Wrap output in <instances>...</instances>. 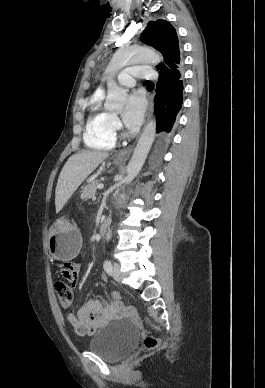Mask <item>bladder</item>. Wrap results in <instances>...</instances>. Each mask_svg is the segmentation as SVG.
Wrapping results in <instances>:
<instances>
[{
    "mask_svg": "<svg viewBox=\"0 0 265 388\" xmlns=\"http://www.w3.org/2000/svg\"><path fill=\"white\" fill-rule=\"evenodd\" d=\"M136 335L137 328L131 322H111L94 334L88 348L90 352L116 359L134 345Z\"/></svg>",
    "mask_w": 265,
    "mask_h": 388,
    "instance_id": "31cf9c89",
    "label": "bladder"
}]
</instances>
